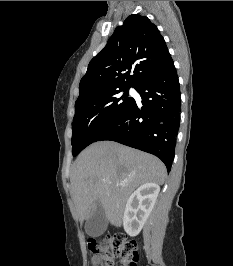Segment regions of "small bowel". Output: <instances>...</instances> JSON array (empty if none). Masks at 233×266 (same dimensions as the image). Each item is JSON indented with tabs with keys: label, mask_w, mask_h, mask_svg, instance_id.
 <instances>
[{
	"label": "small bowel",
	"mask_w": 233,
	"mask_h": 266,
	"mask_svg": "<svg viewBox=\"0 0 233 266\" xmlns=\"http://www.w3.org/2000/svg\"><path fill=\"white\" fill-rule=\"evenodd\" d=\"M92 264H93L94 266H97V264H98V258H97L96 256H93V257H92Z\"/></svg>",
	"instance_id": "small-bowel-1"
}]
</instances>
